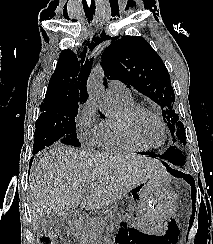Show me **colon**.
<instances>
[{"label":"colon","mask_w":213,"mask_h":244,"mask_svg":"<svg viewBox=\"0 0 213 244\" xmlns=\"http://www.w3.org/2000/svg\"><path fill=\"white\" fill-rule=\"evenodd\" d=\"M39 244H53V239L51 236H42L39 239Z\"/></svg>","instance_id":"1"}]
</instances>
